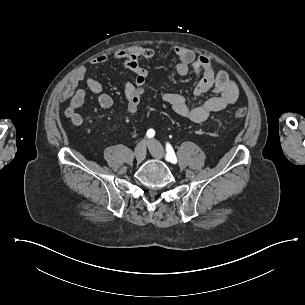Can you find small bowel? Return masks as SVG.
Returning a JSON list of instances; mask_svg holds the SVG:
<instances>
[{
	"mask_svg": "<svg viewBox=\"0 0 305 305\" xmlns=\"http://www.w3.org/2000/svg\"><path fill=\"white\" fill-rule=\"evenodd\" d=\"M172 50L178 63L175 72L179 76H185L190 68L196 74H201V79L196 84L194 95L200 96L210 90L217 95L207 98L196 106H190L181 94L164 90L161 93L171 109L181 117L194 123L206 121L211 114L219 112L234 104L238 98V88L236 83L225 71H214L210 60L204 55H196L192 50L173 46ZM156 53L152 47L131 46L118 49L111 54H102L89 60L90 65H100L115 60L122 62V65L134 72L135 79L127 82L124 86V94L127 98L129 93L139 86H145L148 70L141 64L142 59H150ZM87 66H82L71 78L70 85L72 93L69 96L68 106L65 109V116L76 126L83 123V116L78 109L83 105L86 93L78 84L84 81L87 87L93 92L98 93V103L102 109H109L113 105L112 97L103 92V86L98 80L87 75Z\"/></svg>",
	"mask_w": 305,
	"mask_h": 305,
	"instance_id": "1",
	"label": "small bowel"
}]
</instances>
